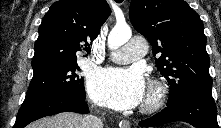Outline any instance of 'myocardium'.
Instances as JSON below:
<instances>
[{"mask_svg": "<svg viewBox=\"0 0 221 128\" xmlns=\"http://www.w3.org/2000/svg\"><path fill=\"white\" fill-rule=\"evenodd\" d=\"M166 97V88L159 80H150L146 97L141 105V111L152 113L158 110Z\"/></svg>", "mask_w": 221, "mask_h": 128, "instance_id": "myocardium-1", "label": "myocardium"}]
</instances>
